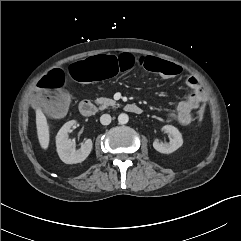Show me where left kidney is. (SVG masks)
I'll return each mask as SVG.
<instances>
[{
	"instance_id": "1",
	"label": "left kidney",
	"mask_w": 241,
	"mask_h": 241,
	"mask_svg": "<svg viewBox=\"0 0 241 241\" xmlns=\"http://www.w3.org/2000/svg\"><path fill=\"white\" fill-rule=\"evenodd\" d=\"M166 133H169L172 135V139L169 143H163L159 142L158 139H156L153 142V147L156 151L164 154H170L174 151H176L179 147L183 144L182 134L179 132V130L172 126V125H165L162 128Z\"/></svg>"
}]
</instances>
